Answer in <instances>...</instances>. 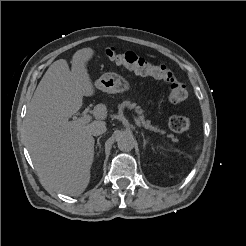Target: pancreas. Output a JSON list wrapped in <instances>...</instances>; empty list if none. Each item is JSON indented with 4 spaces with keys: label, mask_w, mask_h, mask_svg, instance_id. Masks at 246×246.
I'll return each instance as SVG.
<instances>
[{
    "label": "pancreas",
    "mask_w": 246,
    "mask_h": 246,
    "mask_svg": "<svg viewBox=\"0 0 246 246\" xmlns=\"http://www.w3.org/2000/svg\"><path fill=\"white\" fill-rule=\"evenodd\" d=\"M119 108H123V107H130V108H134L137 112V114L139 115V120H141L143 126L147 129H150L154 132H158L160 134H165V131H162L160 129H157L156 127H153L150 125V121L147 120L145 121V117L143 116L144 111L141 109L140 106H138L136 103H133L131 101H123L121 104L118 105ZM169 138H173V135H168Z\"/></svg>",
    "instance_id": "pancreas-1"
}]
</instances>
